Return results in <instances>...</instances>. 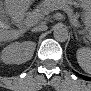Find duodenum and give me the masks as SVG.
Returning a JSON list of instances; mask_svg holds the SVG:
<instances>
[{
    "mask_svg": "<svg viewBox=\"0 0 91 91\" xmlns=\"http://www.w3.org/2000/svg\"><path fill=\"white\" fill-rule=\"evenodd\" d=\"M16 18H17L18 25L25 26L24 20L21 16H17Z\"/></svg>",
    "mask_w": 91,
    "mask_h": 91,
    "instance_id": "duodenum-1",
    "label": "duodenum"
}]
</instances>
